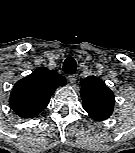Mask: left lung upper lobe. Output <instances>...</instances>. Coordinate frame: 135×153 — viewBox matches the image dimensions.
I'll use <instances>...</instances> for the list:
<instances>
[{
    "instance_id": "obj_1",
    "label": "left lung upper lobe",
    "mask_w": 135,
    "mask_h": 153,
    "mask_svg": "<svg viewBox=\"0 0 135 153\" xmlns=\"http://www.w3.org/2000/svg\"><path fill=\"white\" fill-rule=\"evenodd\" d=\"M83 108L95 121L110 117L113 112L114 94L101 79L95 76L80 81Z\"/></svg>"
}]
</instances>
